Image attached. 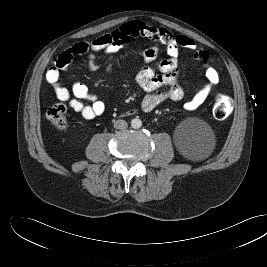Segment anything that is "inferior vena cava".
Returning <instances> with one entry per match:
<instances>
[{
  "instance_id": "602c4592",
  "label": "inferior vena cava",
  "mask_w": 267,
  "mask_h": 267,
  "mask_svg": "<svg viewBox=\"0 0 267 267\" xmlns=\"http://www.w3.org/2000/svg\"><path fill=\"white\" fill-rule=\"evenodd\" d=\"M128 127V124L125 120H117L114 122V128L115 129H126Z\"/></svg>"
}]
</instances>
